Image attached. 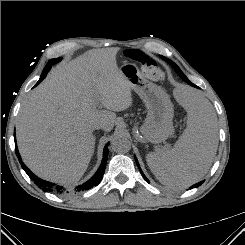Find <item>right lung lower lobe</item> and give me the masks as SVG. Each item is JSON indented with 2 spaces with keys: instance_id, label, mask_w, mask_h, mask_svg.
I'll list each match as a JSON object with an SVG mask.
<instances>
[{
  "instance_id": "right-lung-lower-lobe-1",
  "label": "right lung lower lobe",
  "mask_w": 245,
  "mask_h": 245,
  "mask_svg": "<svg viewBox=\"0 0 245 245\" xmlns=\"http://www.w3.org/2000/svg\"><path fill=\"white\" fill-rule=\"evenodd\" d=\"M52 65L53 64L50 63V62L47 63V65L45 66V68H44V70H43V72L41 74V77H40L39 81L36 83L35 86H37L46 77V75L49 72V70L51 69ZM108 145H109V143L107 145H105V147H104V151H103L104 156H103L101 165H100L99 169L97 170V172L95 173V175L91 179H89L86 183H84V184H82L80 186H77L76 191H84V190L90 189L93 186L98 185L99 182L102 180V177H103V174H104V171H105V167H106L107 158H108ZM15 151H16V155H17V157L19 159V162L22 165V168L30 176V178L35 181V183L37 185H39L40 187L43 188L44 191H52V192H55V193L64 192V189H63L62 186L55 185L53 183H50V182H47V181H44V180L38 178L37 176H35L27 168L26 165H24V163L21 160V156H20V154L18 152L17 146H16V138H15Z\"/></svg>"
}]
</instances>
